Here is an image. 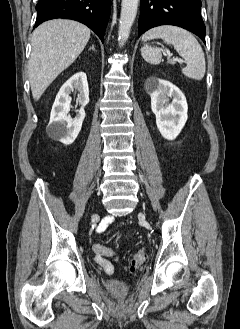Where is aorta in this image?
I'll return each mask as SVG.
<instances>
[{
  "label": "aorta",
  "instance_id": "762f6f07",
  "mask_svg": "<svg viewBox=\"0 0 240 329\" xmlns=\"http://www.w3.org/2000/svg\"><path fill=\"white\" fill-rule=\"evenodd\" d=\"M139 0H122L119 20L118 40L123 46L129 37L131 27L136 18Z\"/></svg>",
  "mask_w": 240,
  "mask_h": 329
}]
</instances>
